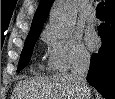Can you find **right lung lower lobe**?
Masks as SVG:
<instances>
[{
	"label": "right lung lower lobe",
	"instance_id": "98d812e1",
	"mask_svg": "<svg viewBox=\"0 0 115 99\" xmlns=\"http://www.w3.org/2000/svg\"><path fill=\"white\" fill-rule=\"evenodd\" d=\"M104 16L105 23L98 28L102 47L92 54L87 81L105 99H115V7Z\"/></svg>",
	"mask_w": 115,
	"mask_h": 99
}]
</instances>
